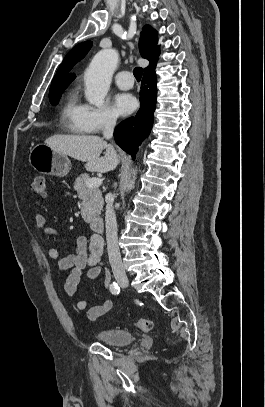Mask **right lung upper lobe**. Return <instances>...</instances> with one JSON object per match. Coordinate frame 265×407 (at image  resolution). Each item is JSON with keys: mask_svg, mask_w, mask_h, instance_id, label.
I'll return each mask as SVG.
<instances>
[{"mask_svg": "<svg viewBox=\"0 0 265 407\" xmlns=\"http://www.w3.org/2000/svg\"><path fill=\"white\" fill-rule=\"evenodd\" d=\"M157 41V32L149 25H146L141 32V37L139 40V51L141 56L150 62L149 67L155 64V61L160 54L159 47L156 46ZM92 44V41H85L76 45L72 50L68 52L63 62L61 63L56 75L54 76L51 82V86L71 83L75 79L76 76L69 74V71L74 67L75 64H77L86 56V54L92 47ZM149 67H147L146 69H148Z\"/></svg>", "mask_w": 265, "mask_h": 407, "instance_id": "right-lung-upper-lobe-1", "label": "right lung upper lobe"}]
</instances>
